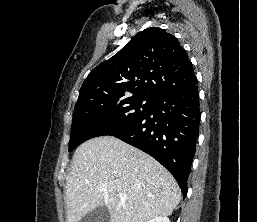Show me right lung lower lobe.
I'll list each match as a JSON object with an SVG mask.
<instances>
[{"label":"right lung lower lobe","instance_id":"right-lung-lower-lobe-1","mask_svg":"<svg viewBox=\"0 0 257 222\" xmlns=\"http://www.w3.org/2000/svg\"><path fill=\"white\" fill-rule=\"evenodd\" d=\"M200 116L196 81L158 97L151 112L112 136L155 158L174 176L185 196Z\"/></svg>","mask_w":257,"mask_h":222}]
</instances>
